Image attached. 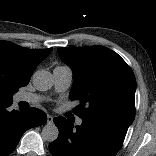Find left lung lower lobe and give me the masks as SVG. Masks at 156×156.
Segmentation results:
<instances>
[{
	"mask_svg": "<svg viewBox=\"0 0 156 156\" xmlns=\"http://www.w3.org/2000/svg\"><path fill=\"white\" fill-rule=\"evenodd\" d=\"M58 138L49 145L53 156H115L128 127L107 119L83 120L80 126L64 117L54 118Z\"/></svg>",
	"mask_w": 156,
	"mask_h": 156,
	"instance_id": "1",
	"label": "left lung lower lobe"
}]
</instances>
